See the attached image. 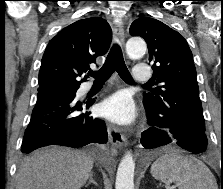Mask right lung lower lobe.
Wrapping results in <instances>:
<instances>
[{
  "mask_svg": "<svg viewBox=\"0 0 223 189\" xmlns=\"http://www.w3.org/2000/svg\"><path fill=\"white\" fill-rule=\"evenodd\" d=\"M75 90L38 93L30 123L25 131L21 151L30 153L47 145L82 147L90 143H107L105 122L90 113H81L94 100H75Z\"/></svg>",
  "mask_w": 223,
  "mask_h": 189,
  "instance_id": "1",
  "label": "right lung lower lobe"
}]
</instances>
